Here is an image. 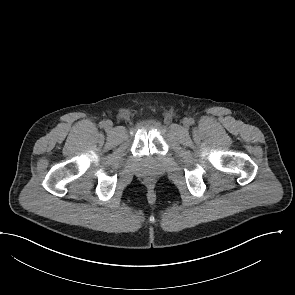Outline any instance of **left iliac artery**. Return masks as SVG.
Returning a JSON list of instances; mask_svg holds the SVG:
<instances>
[{
	"label": "left iliac artery",
	"mask_w": 295,
	"mask_h": 295,
	"mask_svg": "<svg viewBox=\"0 0 295 295\" xmlns=\"http://www.w3.org/2000/svg\"><path fill=\"white\" fill-rule=\"evenodd\" d=\"M189 122H190V124H194V119L189 118Z\"/></svg>",
	"instance_id": "left-iliac-artery-1"
}]
</instances>
